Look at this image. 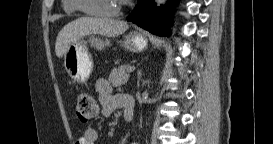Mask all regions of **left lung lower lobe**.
Listing matches in <instances>:
<instances>
[{
	"mask_svg": "<svg viewBox=\"0 0 273 144\" xmlns=\"http://www.w3.org/2000/svg\"><path fill=\"white\" fill-rule=\"evenodd\" d=\"M138 3L133 10V15L128 16L127 20L153 34L159 36L170 35L171 29L168 21V18L172 17L170 2L161 7L156 6L155 0H138Z\"/></svg>",
	"mask_w": 273,
	"mask_h": 144,
	"instance_id": "0a47b994",
	"label": "left lung lower lobe"
}]
</instances>
